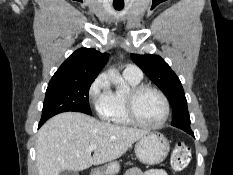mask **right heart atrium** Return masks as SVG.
Instances as JSON below:
<instances>
[{"instance_id": "1", "label": "right heart atrium", "mask_w": 233, "mask_h": 175, "mask_svg": "<svg viewBox=\"0 0 233 175\" xmlns=\"http://www.w3.org/2000/svg\"><path fill=\"white\" fill-rule=\"evenodd\" d=\"M109 83L108 79L104 74L98 75L88 89L89 98L96 103L97 105L99 102L106 97L109 92Z\"/></svg>"}]
</instances>
